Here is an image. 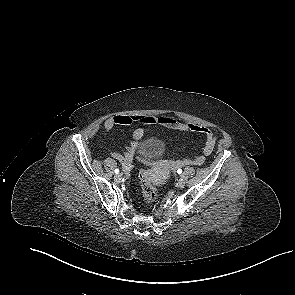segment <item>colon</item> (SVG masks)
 I'll list each match as a JSON object with an SVG mask.
<instances>
[{
    "mask_svg": "<svg viewBox=\"0 0 295 295\" xmlns=\"http://www.w3.org/2000/svg\"><path fill=\"white\" fill-rule=\"evenodd\" d=\"M142 194L141 203L143 206H151L157 201V194L152 186L150 175L148 172L142 173Z\"/></svg>",
    "mask_w": 295,
    "mask_h": 295,
    "instance_id": "1",
    "label": "colon"
}]
</instances>
